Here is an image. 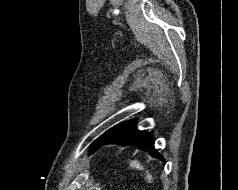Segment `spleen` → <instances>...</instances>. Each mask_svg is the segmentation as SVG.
<instances>
[{
	"instance_id": "1",
	"label": "spleen",
	"mask_w": 238,
	"mask_h": 190,
	"mask_svg": "<svg viewBox=\"0 0 238 190\" xmlns=\"http://www.w3.org/2000/svg\"><path fill=\"white\" fill-rule=\"evenodd\" d=\"M130 167H132L134 169H138V170H143L144 169V167L136 160H133V161L130 162ZM146 179L149 183H151L152 180H153V177L150 173L147 172Z\"/></svg>"
}]
</instances>
